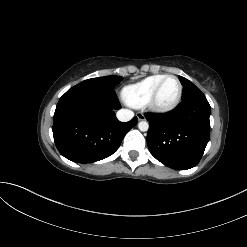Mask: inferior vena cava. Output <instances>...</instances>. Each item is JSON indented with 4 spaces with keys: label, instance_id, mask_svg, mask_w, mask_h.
Wrapping results in <instances>:
<instances>
[{
    "label": "inferior vena cava",
    "instance_id": "obj_1",
    "mask_svg": "<svg viewBox=\"0 0 247 247\" xmlns=\"http://www.w3.org/2000/svg\"><path fill=\"white\" fill-rule=\"evenodd\" d=\"M119 121L127 122L134 117V113L128 109H121L116 114Z\"/></svg>",
    "mask_w": 247,
    "mask_h": 247
}]
</instances>
